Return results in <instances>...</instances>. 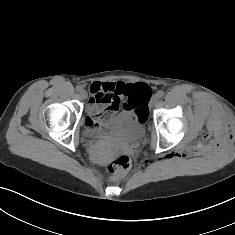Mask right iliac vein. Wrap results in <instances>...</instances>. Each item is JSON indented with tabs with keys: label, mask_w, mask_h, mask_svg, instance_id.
<instances>
[{
	"label": "right iliac vein",
	"mask_w": 235,
	"mask_h": 235,
	"mask_svg": "<svg viewBox=\"0 0 235 235\" xmlns=\"http://www.w3.org/2000/svg\"><path fill=\"white\" fill-rule=\"evenodd\" d=\"M80 94H81V97H82L83 99H87L88 94H87L86 90H82V91L80 92Z\"/></svg>",
	"instance_id": "1"
}]
</instances>
